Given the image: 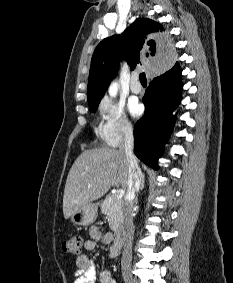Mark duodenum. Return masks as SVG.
<instances>
[{"mask_svg": "<svg viewBox=\"0 0 233 283\" xmlns=\"http://www.w3.org/2000/svg\"><path fill=\"white\" fill-rule=\"evenodd\" d=\"M126 239V231L124 229H120L117 231L114 238V247L117 251H120L122 245L124 244Z\"/></svg>", "mask_w": 233, "mask_h": 283, "instance_id": "obj_1", "label": "duodenum"}]
</instances>
